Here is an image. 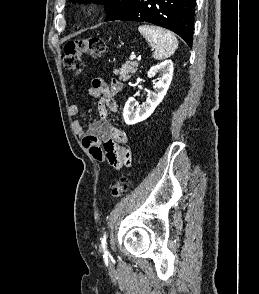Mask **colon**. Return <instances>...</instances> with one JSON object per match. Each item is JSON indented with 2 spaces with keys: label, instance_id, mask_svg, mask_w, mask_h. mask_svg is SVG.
I'll return each mask as SVG.
<instances>
[{
  "label": "colon",
  "instance_id": "1",
  "mask_svg": "<svg viewBox=\"0 0 259 294\" xmlns=\"http://www.w3.org/2000/svg\"><path fill=\"white\" fill-rule=\"evenodd\" d=\"M105 49V41L98 37L70 41L64 46V66L68 70L79 72L82 65V55L97 58L104 53ZM127 188L128 180L125 177H121L112 187L113 198H120L126 192Z\"/></svg>",
  "mask_w": 259,
  "mask_h": 294
}]
</instances>
